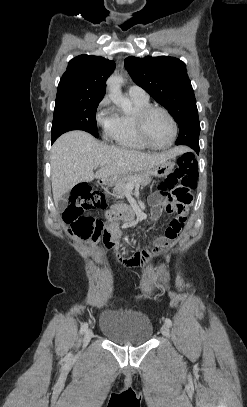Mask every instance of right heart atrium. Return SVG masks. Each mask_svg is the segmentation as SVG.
Here are the masks:
<instances>
[{"instance_id": "obj_1", "label": "right heart atrium", "mask_w": 247, "mask_h": 407, "mask_svg": "<svg viewBox=\"0 0 247 407\" xmlns=\"http://www.w3.org/2000/svg\"><path fill=\"white\" fill-rule=\"evenodd\" d=\"M108 105L109 100L107 97H104L98 104L95 116L96 122L104 129L106 133L113 122V113L109 110Z\"/></svg>"}]
</instances>
